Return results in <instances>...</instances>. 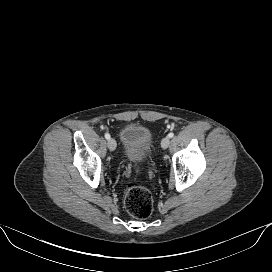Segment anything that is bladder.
Masks as SVG:
<instances>
[{
  "label": "bladder",
  "mask_w": 272,
  "mask_h": 272,
  "mask_svg": "<svg viewBox=\"0 0 272 272\" xmlns=\"http://www.w3.org/2000/svg\"><path fill=\"white\" fill-rule=\"evenodd\" d=\"M121 141L124 155L131 162L143 161L153 150L150 130L139 124L126 125L121 131Z\"/></svg>",
  "instance_id": "bladder-1"
}]
</instances>
